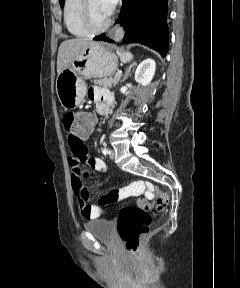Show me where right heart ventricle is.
<instances>
[{"instance_id": "e07e8e85", "label": "right heart ventricle", "mask_w": 240, "mask_h": 288, "mask_svg": "<svg viewBox=\"0 0 240 288\" xmlns=\"http://www.w3.org/2000/svg\"><path fill=\"white\" fill-rule=\"evenodd\" d=\"M82 0H65L64 23L70 34L76 37H85L90 33L83 27L81 22Z\"/></svg>"}]
</instances>
